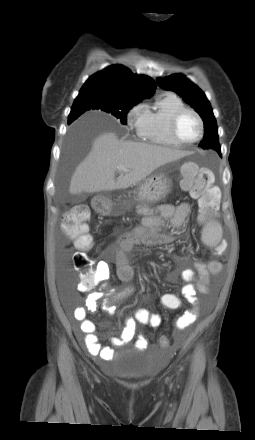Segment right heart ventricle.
I'll return each mask as SVG.
<instances>
[{
  "mask_svg": "<svg viewBox=\"0 0 255 440\" xmlns=\"http://www.w3.org/2000/svg\"><path fill=\"white\" fill-rule=\"evenodd\" d=\"M185 107L183 100L168 92L156 98L152 106L145 108L138 135L145 141L168 147H177L178 143L170 132V121L176 111Z\"/></svg>",
  "mask_w": 255,
  "mask_h": 440,
  "instance_id": "1",
  "label": "right heart ventricle"
}]
</instances>
